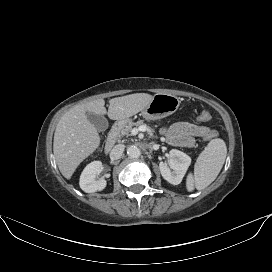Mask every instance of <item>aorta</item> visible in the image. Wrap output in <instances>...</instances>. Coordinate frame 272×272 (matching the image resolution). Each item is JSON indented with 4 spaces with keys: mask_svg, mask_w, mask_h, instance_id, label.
<instances>
[{
    "mask_svg": "<svg viewBox=\"0 0 272 272\" xmlns=\"http://www.w3.org/2000/svg\"><path fill=\"white\" fill-rule=\"evenodd\" d=\"M127 154L128 156H130L131 158H138L141 155V151L138 147L136 146H130L127 149Z\"/></svg>",
    "mask_w": 272,
    "mask_h": 272,
    "instance_id": "aorta-1",
    "label": "aorta"
}]
</instances>
